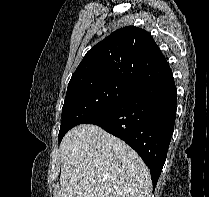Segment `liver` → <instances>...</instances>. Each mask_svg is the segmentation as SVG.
Here are the masks:
<instances>
[{"label":"liver","instance_id":"obj_1","mask_svg":"<svg viewBox=\"0 0 209 197\" xmlns=\"http://www.w3.org/2000/svg\"><path fill=\"white\" fill-rule=\"evenodd\" d=\"M58 197H149L150 172L124 141L102 128L81 124L60 144Z\"/></svg>","mask_w":209,"mask_h":197}]
</instances>
